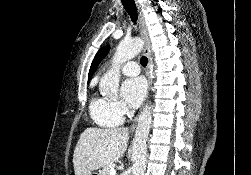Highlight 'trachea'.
I'll return each instance as SVG.
<instances>
[{"label": "trachea", "mask_w": 251, "mask_h": 175, "mask_svg": "<svg viewBox=\"0 0 251 175\" xmlns=\"http://www.w3.org/2000/svg\"><path fill=\"white\" fill-rule=\"evenodd\" d=\"M122 4L124 5V8L128 13V15L130 16L132 22L136 23L138 19V13L134 0H122ZM140 63L141 65H143V67H145L148 63L147 57H142L140 59Z\"/></svg>", "instance_id": "trachea-1"}]
</instances>
